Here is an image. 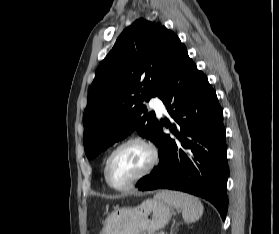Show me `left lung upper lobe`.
I'll use <instances>...</instances> for the list:
<instances>
[{"mask_svg":"<svg viewBox=\"0 0 279 234\" xmlns=\"http://www.w3.org/2000/svg\"><path fill=\"white\" fill-rule=\"evenodd\" d=\"M178 36L160 23L136 20L97 68L83 114V144L93 159L131 131L155 143L159 121L142 102L157 96L179 50Z\"/></svg>","mask_w":279,"mask_h":234,"instance_id":"5c2ea615","label":"left lung upper lobe"}]
</instances>
